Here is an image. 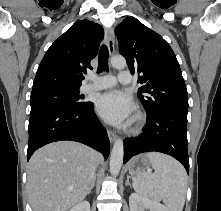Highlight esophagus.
Listing matches in <instances>:
<instances>
[{"label": "esophagus", "mask_w": 221, "mask_h": 211, "mask_svg": "<svg viewBox=\"0 0 221 211\" xmlns=\"http://www.w3.org/2000/svg\"><path fill=\"white\" fill-rule=\"evenodd\" d=\"M105 38H106V43H107L109 53L110 55H113L114 50H115V38H114L113 28L110 27V28L105 29ZM108 137L111 142H114L117 138V135L115 132L108 130Z\"/></svg>", "instance_id": "esophagus-1"}]
</instances>
